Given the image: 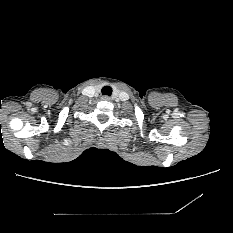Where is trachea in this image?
<instances>
[{
    "label": "trachea",
    "instance_id": "trachea-1",
    "mask_svg": "<svg viewBox=\"0 0 233 233\" xmlns=\"http://www.w3.org/2000/svg\"><path fill=\"white\" fill-rule=\"evenodd\" d=\"M112 94V88L110 86H104L102 88V95L110 96Z\"/></svg>",
    "mask_w": 233,
    "mask_h": 233
}]
</instances>
